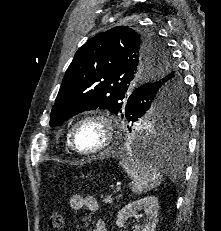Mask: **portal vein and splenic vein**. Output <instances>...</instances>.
Returning a JSON list of instances; mask_svg holds the SVG:
<instances>
[{"mask_svg": "<svg viewBox=\"0 0 221 231\" xmlns=\"http://www.w3.org/2000/svg\"><path fill=\"white\" fill-rule=\"evenodd\" d=\"M116 190H117V192H119L121 190V187L117 186Z\"/></svg>", "mask_w": 221, "mask_h": 231, "instance_id": "18ae733b", "label": "portal vein and splenic vein"}]
</instances>
